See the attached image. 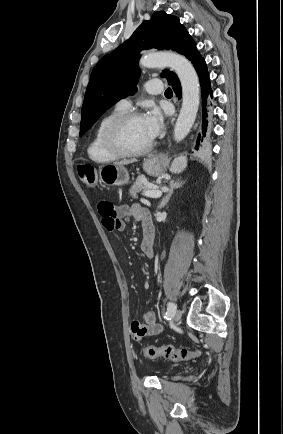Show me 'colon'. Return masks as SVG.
Masks as SVG:
<instances>
[{"label":"colon","instance_id":"1","mask_svg":"<svg viewBox=\"0 0 283 434\" xmlns=\"http://www.w3.org/2000/svg\"><path fill=\"white\" fill-rule=\"evenodd\" d=\"M78 174L83 184L93 189L97 186L96 171L90 166H80ZM143 353L148 358L165 357L172 361H188L200 355L199 351H191L188 349H178L172 345H165L162 347L147 346L143 348Z\"/></svg>","mask_w":283,"mask_h":434}]
</instances>
